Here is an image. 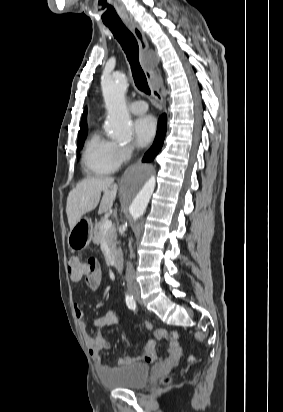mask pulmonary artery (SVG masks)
<instances>
[{
  "label": "pulmonary artery",
  "mask_w": 283,
  "mask_h": 412,
  "mask_svg": "<svg viewBox=\"0 0 283 412\" xmlns=\"http://www.w3.org/2000/svg\"><path fill=\"white\" fill-rule=\"evenodd\" d=\"M147 109L148 106L146 102L143 100L134 101L129 105L130 112L136 115L145 113Z\"/></svg>",
  "instance_id": "e3ab8cb5"
}]
</instances>
